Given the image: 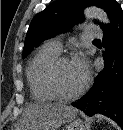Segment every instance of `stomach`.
Returning a JSON list of instances; mask_svg holds the SVG:
<instances>
[{"mask_svg": "<svg viewBox=\"0 0 123 130\" xmlns=\"http://www.w3.org/2000/svg\"><path fill=\"white\" fill-rule=\"evenodd\" d=\"M66 130H85V125L81 120H73L69 123Z\"/></svg>", "mask_w": 123, "mask_h": 130, "instance_id": "1", "label": "stomach"}]
</instances>
